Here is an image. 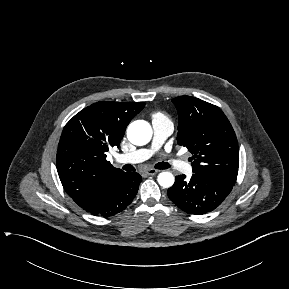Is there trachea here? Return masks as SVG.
I'll use <instances>...</instances> for the list:
<instances>
[{
	"instance_id": "3493384b",
	"label": "trachea",
	"mask_w": 289,
	"mask_h": 289,
	"mask_svg": "<svg viewBox=\"0 0 289 289\" xmlns=\"http://www.w3.org/2000/svg\"><path fill=\"white\" fill-rule=\"evenodd\" d=\"M170 166L168 163H165V162H161V163H158L156 165V168L158 169H168ZM123 169L126 170V171H134V167L130 164H126L123 166Z\"/></svg>"
}]
</instances>
